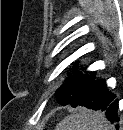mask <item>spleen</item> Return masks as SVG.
I'll list each match as a JSON object with an SVG mask.
<instances>
[{
    "instance_id": "1",
    "label": "spleen",
    "mask_w": 123,
    "mask_h": 130,
    "mask_svg": "<svg viewBox=\"0 0 123 130\" xmlns=\"http://www.w3.org/2000/svg\"><path fill=\"white\" fill-rule=\"evenodd\" d=\"M56 130H109L106 119L100 113L79 108L62 120Z\"/></svg>"
}]
</instances>
